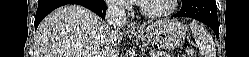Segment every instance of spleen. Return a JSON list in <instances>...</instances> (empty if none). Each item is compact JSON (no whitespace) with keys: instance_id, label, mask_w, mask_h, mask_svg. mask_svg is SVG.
<instances>
[{"instance_id":"3e777b00","label":"spleen","mask_w":249,"mask_h":57,"mask_svg":"<svg viewBox=\"0 0 249 57\" xmlns=\"http://www.w3.org/2000/svg\"><path fill=\"white\" fill-rule=\"evenodd\" d=\"M189 26L196 43L204 50L205 57H215V53L211 50V45L209 44L211 38L207 31L196 21H192Z\"/></svg>"}]
</instances>
